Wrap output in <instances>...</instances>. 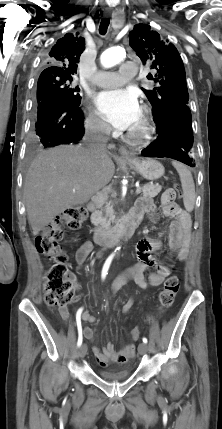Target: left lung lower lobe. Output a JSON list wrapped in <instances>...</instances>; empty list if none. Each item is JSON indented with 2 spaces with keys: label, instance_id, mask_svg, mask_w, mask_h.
Here are the masks:
<instances>
[{
  "label": "left lung lower lobe",
  "instance_id": "obj_1",
  "mask_svg": "<svg viewBox=\"0 0 222 429\" xmlns=\"http://www.w3.org/2000/svg\"><path fill=\"white\" fill-rule=\"evenodd\" d=\"M154 122L158 137L143 149L141 154L145 157L172 158L194 167L195 163L191 157L194 137L189 107L172 109Z\"/></svg>",
  "mask_w": 222,
  "mask_h": 429
}]
</instances>
